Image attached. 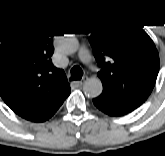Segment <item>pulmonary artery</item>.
Masks as SVG:
<instances>
[{"instance_id":"obj_1","label":"pulmonary artery","mask_w":165,"mask_h":156,"mask_svg":"<svg viewBox=\"0 0 165 156\" xmlns=\"http://www.w3.org/2000/svg\"><path fill=\"white\" fill-rule=\"evenodd\" d=\"M80 59L83 61V62H87L88 61V56H87V53L85 50L81 51L80 52Z\"/></svg>"}]
</instances>
